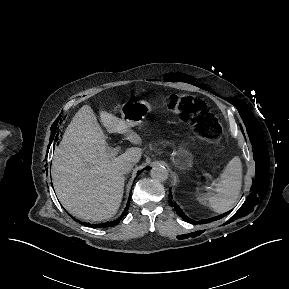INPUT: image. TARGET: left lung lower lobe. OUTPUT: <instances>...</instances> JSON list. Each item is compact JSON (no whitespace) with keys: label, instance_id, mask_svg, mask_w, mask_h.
Instances as JSON below:
<instances>
[{"label":"left lung lower lobe","instance_id":"obj_1","mask_svg":"<svg viewBox=\"0 0 289 289\" xmlns=\"http://www.w3.org/2000/svg\"><path fill=\"white\" fill-rule=\"evenodd\" d=\"M169 202H170V205L174 207V209L176 210L177 214L183 218L185 221L189 222V223H197L196 221L188 218L186 215L183 214L182 210L179 208V206L173 202V200L171 198H169Z\"/></svg>","mask_w":289,"mask_h":289}]
</instances>
